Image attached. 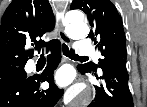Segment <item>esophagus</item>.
Returning a JSON list of instances; mask_svg holds the SVG:
<instances>
[{
    "label": "esophagus",
    "instance_id": "34e87169",
    "mask_svg": "<svg viewBox=\"0 0 147 107\" xmlns=\"http://www.w3.org/2000/svg\"><path fill=\"white\" fill-rule=\"evenodd\" d=\"M56 27H57L59 38L61 39V41L68 44V45H70L71 44V39L64 32V28H63V26L61 24V19H59L57 21V26Z\"/></svg>",
    "mask_w": 147,
    "mask_h": 107
}]
</instances>
